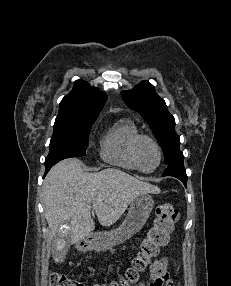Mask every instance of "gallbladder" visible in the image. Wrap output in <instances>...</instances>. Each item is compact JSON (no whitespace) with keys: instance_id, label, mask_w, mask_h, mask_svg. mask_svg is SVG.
Wrapping results in <instances>:
<instances>
[{"instance_id":"gallbladder-1","label":"gallbladder","mask_w":231,"mask_h":286,"mask_svg":"<svg viewBox=\"0 0 231 286\" xmlns=\"http://www.w3.org/2000/svg\"><path fill=\"white\" fill-rule=\"evenodd\" d=\"M71 227V224L68 223L66 220H63L62 223L58 224V238L53 239V245L52 247V255L53 258L55 259V263H62V259L66 258L65 256L68 255L65 252H67L66 250L69 249L67 247H69L67 243H70V241H68L67 235L69 233V228Z\"/></svg>"}]
</instances>
